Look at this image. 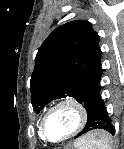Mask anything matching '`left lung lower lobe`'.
<instances>
[{
	"label": "left lung lower lobe",
	"mask_w": 124,
	"mask_h": 149,
	"mask_svg": "<svg viewBox=\"0 0 124 149\" xmlns=\"http://www.w3.org/2000/svg\"><path fill=\"white\" fill-rule=\"evenodd\" d=\"M87 123L83 131L76 137L92 130L102 129L114 135L115 127L105 108L104 101L100 97V88L87 100Z\"/></svg>",
	"instance_id": "left-lung-lower-lobe-1"
}]
</instances>
